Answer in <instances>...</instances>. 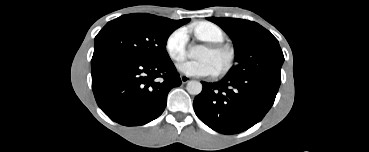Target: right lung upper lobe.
Masks as SVG:
<instances>
[{"instance_id":"cb5924a9","label":"right lung upper lobe","mask_w":369,"mask_h":152,"mask_svg":"<svg viewBox=\"0 0 369 152\" xmlns=\"http://www.w3.org/2000/svg\"><path fill=\"white\" fill-rule=\"evenodd\" d=\"M149 15L150 16H153V17H156V18H158V19H160L162 21H165V22H167V23H169V24H171V25H173V26H175L177 28L180 27V26H182V25H184V24H186V23H188L190 21V19L170 20V19L165 18V17H158V16L151 15V14H149Z\"/></svg>"}]
</instances>
